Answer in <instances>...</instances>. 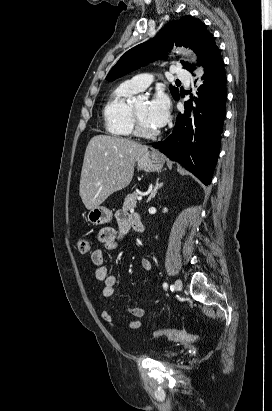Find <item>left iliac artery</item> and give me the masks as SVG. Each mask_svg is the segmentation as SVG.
Returning a JSON list of instances; mask_svg holds the SVG:
<instances>
[{
    "instance_id": "44dca946",
    "label": "left iliac artery",
    "mask_w": 272,
    "mask_h": 411,
    "mask_svg": "<svg viewBox=\"0 0 272 411\" xmlns=\"http://www.w3.org/2000/svg\"><path fill=\"white\" fill-rule=\"evenodd\" d=\"M167 287H168V284H167L166 282H164V283H163V288H164V289H167Z\"/></svg>"
}]
</instances>
